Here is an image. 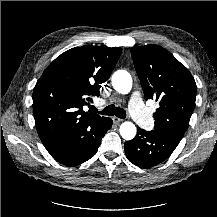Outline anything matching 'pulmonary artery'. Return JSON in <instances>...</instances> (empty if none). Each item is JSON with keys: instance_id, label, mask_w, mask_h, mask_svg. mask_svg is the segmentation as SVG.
I'll return each mask as SVG.
<instances>
[{"instance_id": "obj_1", "label": "pulmonary artery", "mask_w": 217, "mask_h": 217, "mask_svg": "<svg viewBox=\"0 0 217 217\" xmlns=\"http://www.w3.org/2000/svg\"><path fill=\"white\" fill-rule=\"evenodd\" d=\"M129 111L133 119L138 121L144 128H148L151 124V118L147 108L144 106L142 96L139 92L132 94L130 99Z\"/></svg>"}]
</instances>
